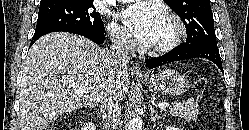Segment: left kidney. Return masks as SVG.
<instances>
[{"label":"left kidney","mask_w":249,"mask_h":130,"mask_svg":"<svg viewBox=\"0 0 249 130\" xmlns=\"http://www.w3.org/2000/svg\"><path fill=\"white\" fill-rule=\"evenodd\" d=\"M166 130H180V129L176 128L175 126H168Z\"/></svg>","instance_id":"5707ae66"}]
</instances>
